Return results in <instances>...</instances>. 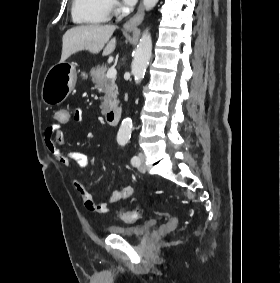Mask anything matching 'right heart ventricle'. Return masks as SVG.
<instances>
[{
	"mask_svg": "<svg viewBox=\"0 0 280 283\" xmlns=\"http://www.w3.org/2000/svg\"><path fill=\"white\" fill-rule=\"evenodd\" d=\"M71 15L78 24H101L110 18L108 0H72Z\"/></svg>",
	"mask_w": 280,
	"mask_h": 283,
	"instance_id": "e07e8e85",
	"label": "right heart ventricle"
}]
</instances>
